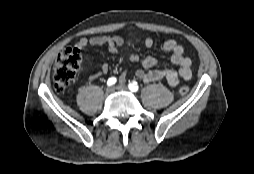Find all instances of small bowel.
Here are the masks:
<instances>
[{
	"instance_id": "1",
	"label": "small bowel",
	"mask_w": 254,
	"mask_h": 174,
	"mask_svg": "<svg viewBox=\"0 0 254 174\" xmlns=\"http://www.w3.org/2000/svg\"><path fill=\"white\" fill-rule=\"evenodd\" d=\"M138 39V35H132L125 41L120 36H94L91 38H81L76 46L80 49L96 46L104 47L110 53H119L125 46H130L135 40ZM145 47L150 48L154 44V40L151 37H146L143 41ZM162 50L170 54V62L178 69H155L157 60L152 56L141 57L137 53H128V58L140 63L143 69L136 71V76L144 82H157L165 80L171 87H177L180 81L190 80L192 77V61L185 55V51L182 45L176 40L170 39L163 43ZM109 71V65L106 62L100 63V71L91 75L88 81H94L99 77L106 75ZM125 76H121L120 81L124 82Z\"/></svg>"
}]
</instances>
